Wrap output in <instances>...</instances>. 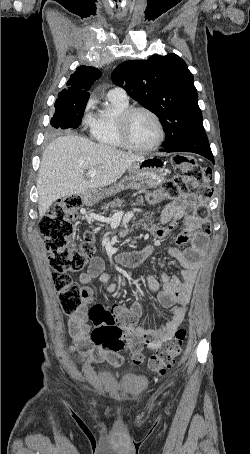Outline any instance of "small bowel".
Segmentation results:
<instances>
[{"instance_id": "c3829d8e", "label": "small bowel", "mask_w": 250, "mask_h": 454, "mask_svg": "<svg viewBox=\"0 0 250 454\" xmlns=\"http://www.w3.org/2000/svg\"><path fill=\"white\" fill-rule=\"evenodd\" d=\"M195 201L193 194H185L180 199L170 203L160 217L161 226L148 228L156 239L164 238L176 226L177 221L184 219L185 230L177 237L178 244L188 246L181 250L171 247L168 253L182 268L181 278L170 277L166 273L160 274L161 285L158 280L149 275L147 283L149 288L157 294L160 304L165 308H171L172 319L164 324L158 331H146L138 329L142 340L149 350H158L163 343L170 340L176 330L182 325L187 315V305L191 297L194 282L201 266V258L205 253L208 238L199 230V222L193 216ZM153 244H148L143 250L134 252L122 259L124 262L137 263L147 257L153 251ZM98 279L104 283L110 292L116 290V284L109 282V276L105 272V264L99 257H93L87 271L80 275L81 298L83 305L73 313L68 320V332L72 336V343L68 350L70 355L78 362L103 363L108 362L113 366L122 363V356L111 352L102 346L92 342L90 326L87 323V306L94 303V293L91 284ZM142 304L134 302L129 308L114 306L112 313L121 317L129 314L135 320L142 315Z\"/></svg>"}]
</instances>
